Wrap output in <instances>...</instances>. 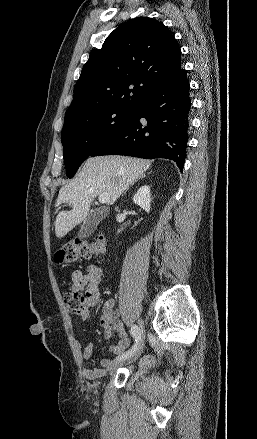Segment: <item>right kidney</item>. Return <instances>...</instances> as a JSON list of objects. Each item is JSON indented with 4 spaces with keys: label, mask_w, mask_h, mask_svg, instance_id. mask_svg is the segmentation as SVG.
Here are the masks:
<instances>
[{
    "label": "right kidney",
    "mask_w": 257,
    "mask_h": 439,
    "mask_svg": "<svg viewBox=\"0 0 257 439\" xmlns=\"http://www.w3.org/2000/svg\"><path fill=\"white\" fill-rule=\"evenodd\" d=\"M150 196H151L150 187L144 185L140 187L136 192V194L134 195L133 202L149 213L150 202H151Z\"/></svg>",
    "instance_id": "ca27d5eb"
}]
</instances>
